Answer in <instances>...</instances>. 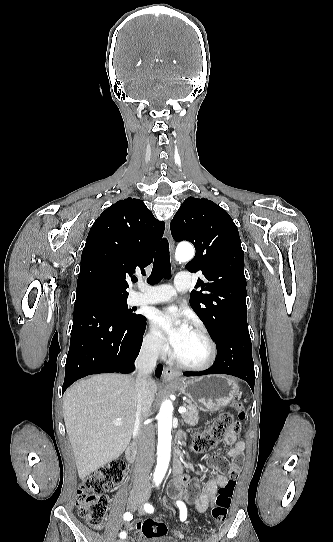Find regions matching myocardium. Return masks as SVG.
<instances>
[{
  "instance_id": "1",
  "label": "myocardium",
  "mask_w": 333,
  "mask_h": 542,
  "mask_svg": "<svg viewBox=\"0 0 333 542\" xmlns=\"http://www.w3.org/2000/svg\"><path fill=\"white\" fill-rule=\"evenodd\" d=\"M192 329H194L207 342L209 346L208 360L202 364H189L176 358L171 352V350H168L167 354H168L169 359L181 369L188 370V371H196V372L206 371L210 369L217 360V355H218L217 345H216L215 340L210 335V333L206 330L205 327L201 325H195Z\"/></svg>"
}]
</instances>
